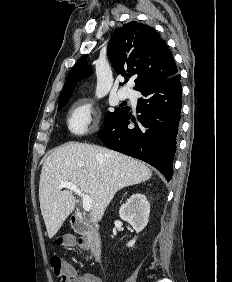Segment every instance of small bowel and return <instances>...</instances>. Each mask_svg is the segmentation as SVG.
Listing matches in <instances>:
<instances>
[{"label":"small bowel","instance_id":"obj_1","mask_svg":"<svg viewBox=\"0 0 232 282\" xmlns=\"http://www.w3.org/2000/svg\"><path fill=\"white\" fill-rule=\"evenodd\" d=\"M70 282H102L101 279L93 273H79L72 267V276Z\"/></svg>","mask_w":232,"mask_h":282}]
</instances>
